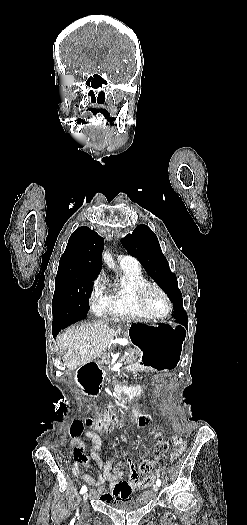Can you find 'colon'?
Returning <instances> with one entry per match:
<instances>
[{
  "mask_svg": "<svg viewBox=\"0 0 247 525\" xmlns=\"http://www.w3.org/2000/svg\"><path fill=\"white\" fill-rule=\"evenodd\" d=\"M146 388L151 389L153 386L155 388H158L160 386V383L158 381L148 380L145 383ZM154 398L157 400V403H160V400L163 398V395L161 393H156L154 395ZM157 403H154L151 405V403L146 402L143 405L144 410L151 412V408L154 410H157L159 408V405ZM141 421L137 417H99V418H93L89 419L87 421V424L89 426L93 427H99L102 428V431H108V432H133L135 428L137 429H143L146 428V424L151 425L153 423V420L151 418H154V415H148L145 413H142L140 415ZM71 435L74 438H79L82 435V430L79 427H74L71 430ZM168 448V444L166 442H160L157 446V449L155 452L149 454L144 460L141 461L139 464V471L142 474H148L151 472L155 462L157 459L162 457V455L166 452Z\"/></svg>",
  "mask_w": 247,
  "mask_h": 525,
  "instance_id": "colon-1",
  "label": "colon"
}]
</instances>
